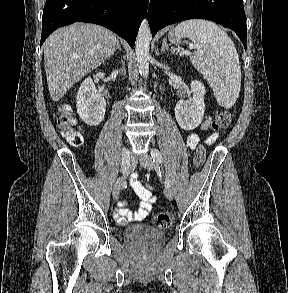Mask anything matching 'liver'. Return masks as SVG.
<instances>
[{
    "label": "liver",
    "mask_w": 288,
    "mask_h": 293,
    "mask_svg": "<svg viewBox=\"0 0 288 293\" xmlns=\"http://www.w3.org/2000/svg\"><path fill=\"white\" fill-rule=\"evenodd\" d=\"M113 32L99 25L74 23L53 32L44 43V64L53 101L60 100L82 77L116 49Z\"/></svg>",
    "instance_id": "liver-1"
}]
</instances>
